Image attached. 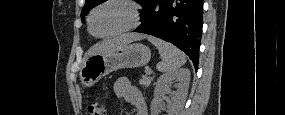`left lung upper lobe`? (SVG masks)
<instances>
[{
	"mask_svg": "<svg viewBox=\"0 0 285 115\" xmlns=\"http://www.w3.org/2000/svg\"><path fill=\"white\" fill-rule=\"evenodd\" d=\"M139 4H142L144 0H135ZM105 2V0H86L85 5L81 12L82 21L84 22V16L92 9L93 7Z\"/></svg>",
	"mask_w": 285,
	"mask_h": 115,
	"instance_id": "5c2ea615",
	"label": "left lung upper lobe"
}]
</instances>
